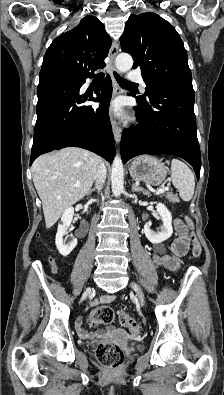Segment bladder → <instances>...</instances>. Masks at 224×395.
<instances>
[{
	"instance_id": "1",
	"label": "bladder",
	"mask_w": 224,
	"mask_h": 395,
	"mask_svg": "<svg viewBox=\"0 0 224 395\" xmlns=\"http://www.w3.org/2000/svg\"><path fill=\"white\" fill-rule=\"evenodd\" d=\"M137 348H138V349H142L143 346L139 344V345H137Z\"/></svg>"
}]
</instances>
